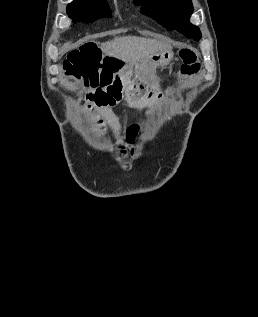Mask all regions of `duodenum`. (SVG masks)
Instances as JSON below:
<instances>
[{
	"instance_id": "1",
	"label": "duodenum",
	"mask_w": 258,
	"mask_h": 317,
	"mask_svg": "<svg viewBox=\"0 0 258 317\" xmlns=\"http://www.w3.org/2000/svg\"><path fill=\"white\" fill-rule=\"evenodd\" d=\"M136 79L135 67L122 66L109 80L89 92V102L95 106L114 105L135 86Z\"/></svg>"
}]
</instances>
